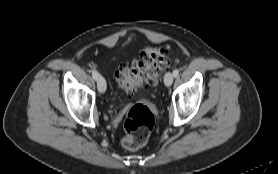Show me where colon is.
Masks as SVG:
<instances>
[{
    "instance_id": "5ec220e1",
    "label": "colon",
    "mask_w": 278,
    "mask_h": 174,
    "mask_svg": "<svg viewBox=\"0 0 278 174\" xmlns=\"http://www.w3.org/2000/svg\"><path fill=\"white\" fill-rule=\"evenodd\" d=\"M167 59L165 50L146 47L142 50L140 59L135 60L131 67L119 68L116 72L117 81L128 93L153 85L166 68ZM154 123V116L147 106L138 104L132 107L124 121L125 135L122 138V145L129 150L144 146Z\"/></svg>"
}]
</instances>
